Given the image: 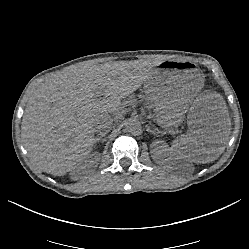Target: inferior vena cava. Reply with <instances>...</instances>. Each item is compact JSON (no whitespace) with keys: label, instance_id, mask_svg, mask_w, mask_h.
I'll return each mask as SVG.
<instances>
[{"label":"inferior vena cava","instance_id":"inferior-vena-cava-1","mask_svg":"<svg viewBox=\"0 0 249 249\" xmlns=\"http://www.w3.org/2000/svg\"><path fill=\"white\" fill-rule=\"evenodd\" d=\"M113 127V120L111 115H103L99 120L94 124V131L105 133L108 132Z\"/></svg>","mask_w":249,"mask_h":249}]
</instances>
